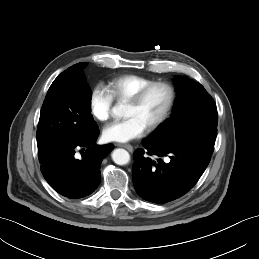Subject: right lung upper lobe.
<instances>
[{
  "label": "right lung upper lobe",
  "mask_w": 259,
  "mask_h": 259,
  "mask_svg": "<svg viewBox=\"0 0 259 259\" xmlns=\"http://www.w3.org/2000/svg\"><path fill=\"white\" fill-rule=\"evenodd\" d=\"M75 65L69 67L67 70H65L63 73H61L52 83L51 87H55L59 83H61L64 79L70 78L72 76V72L75 69Z\"/></svg>",
  "instance_id": "right-lung-upper-lobe-1"
}]
</instances>
